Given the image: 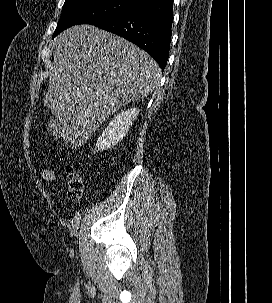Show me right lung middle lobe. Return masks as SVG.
Listing matches in <instances>:
<instances>
[{
  "label": "right lung middle lobe",
  "mask_w": 272,
  "mask_h": 303,
  "mask_svg": "<svg viewBox=\"0 0 272 303\" xmlns=\"http://www.w3.org/2000/svg\"><path fill=\"white\" fill-rule=\"evenodd\" d=\"M136 7L131 0H66L53 38L73 25L93 24Z\"/></svg>",
  "instance_id": "obj_1"
}]
</instances>
